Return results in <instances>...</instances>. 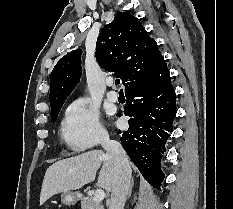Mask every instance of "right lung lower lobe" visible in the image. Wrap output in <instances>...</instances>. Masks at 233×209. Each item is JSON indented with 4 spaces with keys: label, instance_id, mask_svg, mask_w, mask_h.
Wrapping results in <instances>:
<instances>
[{
    "label": "right lung lower lobe",
    "instance_id": "98d812e1",
    "mask_svg": "<svg viewBox=\"0 0 233 209\" xmlns=\"http://www.w3.org/2000/svg\"><path fill=\"white\" fill-rule=\"evenodd\" d=\"M125 95L124 114L131 118L128 130L118 131L122 147L143 177L159 189L164 179L160 160L177 110L166 64L151 78L125 91Z\"/></svg>",
    "mask_w": 233,
    "mask_h": 209
}]
</instances>
